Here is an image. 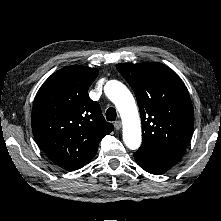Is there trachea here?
Returning <instances> with one entry per match:
<instances>
[{"instance_id":"obj_1","label":"trachea","mask_w":221,"mask_h":221,"mask_svg":"<svg viewBox=\"0 0 221 221\" xmlns=\"http://www.w3.org/2000/svg\"><path fill=\"white\" fill-rule=\"evenodd\" d=\"M117 113L116 110L112 107L108 108L106 111V119L108 121H114L116 119Z\"/></svg>"}]
</instances>
